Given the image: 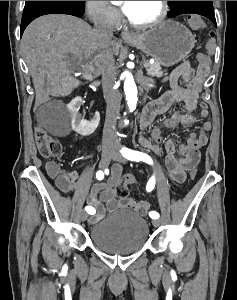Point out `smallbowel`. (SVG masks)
<instances>
[{"label": "small bowel", "mask_w": 237, "mask_h": 300, "mask_svg": "<svg viewBox=\"0 0 237 300\" xmlns=\"http://www.w3.org/2000/svg\"><path fill=\"white\" fill-rule=\"evenodd\" d=\"M209 67L198 65L195 69L189 61L177 66L166 78L172 90L163 94L160 98L149 102L140 115V143L160 154L157 146L148 141L143 133L152 125L154 120L170 111V116L161 120L151 130V136L157 143L164 144L165 167L174 183H182L186 179V171L193 169L199 162L200 151L207 143V133L211 129V123L205 121L198 134L191 133L185 143L169 139L165 136V130L177 125H191L197 117L193 111L198 107L200 92L208 78ZM182 82L186 83L183 85ZM182 105V110L176 108ZM199 119L206 120L209 117L208 105L201 102ZM47 172L54 180L57 188L63 193L83 194L90 187L87 178H82L76 170L61 169L55 162L47 164ZM122 174V167L115 165L106 182L96 183L90 187L86 196L88 204L95 210L91 215L90 223H95L107 212H114L121 207H131L145 212L150 205L145 201L127 199L120 201L115 197L114 189Z\"/></svg>", "instance_id": "1"}]
</instances>
